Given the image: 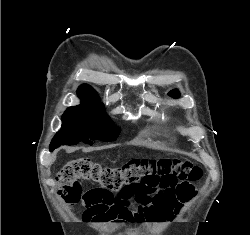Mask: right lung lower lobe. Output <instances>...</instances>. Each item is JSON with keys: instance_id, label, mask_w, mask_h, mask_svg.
<instances>
[{"instance_id": "right-lung-lower-lobe-1", "label": "right lung lower lobe", "mask_w": 250, "mask_h": 235, "mask_svg": "<svg viewBox=\"0 0 250 235\" xmlns=\"http://www.w3.org/2000/svg\"><path fill=\"white\" fill-rule=\"evenodd\" d=\"M57 146H50V151H53Z\"/></svg>"}]
</instances>
